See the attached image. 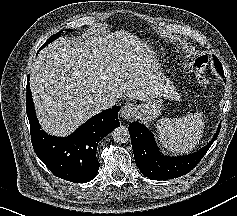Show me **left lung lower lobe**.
Segmentation results:
<instances>
[{"mask_svg":"<svg viewBox=\"0 0 237 216\" xmlns=\"http://www.w3.org/2000/svg\"><path fill=\"white\" fill-rule=\"evenodd\" d=\"M219 131L220 125L212 141L194 154L181 157H165L159 152L152 133L144 125L138 121L129 125L137 167L146 177L157 180L173 179L190 172L207 153Z\"/></svg>","mask_w":237,"mask_h":216,"instance_id":"0a47b994","label":"left lung lower lobe"}]
</instances>
